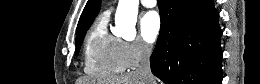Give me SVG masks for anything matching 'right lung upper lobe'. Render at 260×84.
I'll return each mask as SVG.
<instances>
[{"mask_svg": "<svg viewBox=\"0 0 260 84\" xmlns=\"http://www.w3.org/2000/svg\"><path fill=\"white\" fill-rule=\"evenodd\" d=\"M100 9V1L99 0H88L83 13L79 19V23L77 26V35L90 27L93 22V19L97 16ZM76 35V36H77Z\"/></svg>", "mask_w": 260, "mask_h": 84, "instance_id": "cb5924a9", "label": "right lung upper lobe"}]
</instances>
